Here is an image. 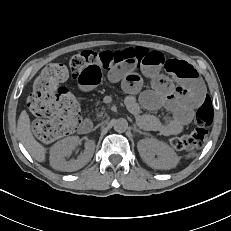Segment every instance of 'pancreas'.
<instances>
[{
  "mask_svg": "<svg viewBox=\"0 0 231 231\" xmlns=\"http://www.w3.org/2000/svg\"><path fill=\"white\" fill-rule=\"evenodd\" d=\"M103 115V113H100L99 116L101 117Z\"/></svg>",
  "mask_w": 231,
  "mask_h": 231,
  "instance_id": "1",
  "label": "pancreas"
}]
</instances>
